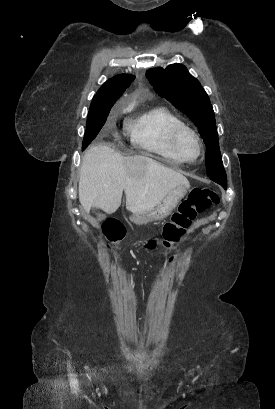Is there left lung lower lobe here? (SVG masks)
<instances>
[{"instance_id":"left-lung-lower-lobe-1","label":"left lung lower lobe","mask_w":275,"mask_h":409,"mask_svg":"<svg viewBox=\"0 0 275 409\" xmlns=\"http://www.w3.org/2000/svg\"><path fill=\"white\" fill-rule=\"evenodd\" d=\"M224 187V189H226L227 188V186H223Z\"/></svg>"}]
</instances>
